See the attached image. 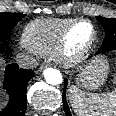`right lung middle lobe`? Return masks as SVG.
Listing matches in <instances>:
<instances>
[{
  "instance_id": "right-lung-middle-lobe-1",
  "label": "right lung middle lobe",
  "mask_w": 116,
  "mask_h": 116,
  "mask_svg": "<svg viewBox=\"0 0 116 116\" xmlns=\"http://www.w3.org/2000/svg\"><path fill=\"white\" fill-rule=\"evenodd\" d=\"M23 18L21 13H0V42H4L16 23Z\"/></svg>"
}]
</instances>
